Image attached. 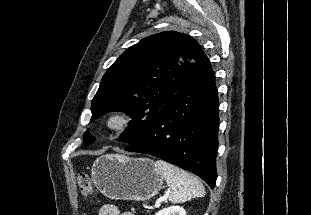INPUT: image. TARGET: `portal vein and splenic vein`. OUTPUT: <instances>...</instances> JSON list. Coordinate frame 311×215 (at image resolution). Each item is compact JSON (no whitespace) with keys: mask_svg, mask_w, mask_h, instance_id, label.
Here are the masks:
<instances>
[{"mask_svg":"<svg viewBox=\"0 0 311 215\" xmlns=\"http://www.w3.org/2000/svg\"><path fill=\"white\" fill-rule=\"evenodd\" d=\"M168 196H169V192H167L163 197H161L160 199H158L155 203V207L158 208L160 206V203L162 201H167L168 199Z\"/></svg>","mask_w":311,"mask_h":215,"instance_id":"portal-vein-and-splenic-vein-1","label":"portal vein and splenic vein"}]
</instances>
